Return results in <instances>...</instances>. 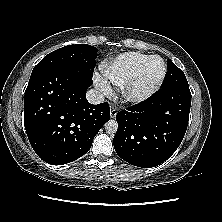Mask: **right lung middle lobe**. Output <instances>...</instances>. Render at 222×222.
Wrapping results in <instances>:
<instances>
[{
	"instance_id": "1",
	"label": "right lung middle lobe",
	"mask_w": 222,
	"mask_h": 222,
	"mask_svg": "<svg viewBox=\"0 0 222 222\" xmlns=\"http://www.w3.org/2000/svg\"><path fill=\"white\" fill-rule=\"evenodd\" d=\"M98 49L87 44L59 48L46 55L33 69L31 76L56 68H72L93 76Z\"/></svg>"
}]
</instances>
